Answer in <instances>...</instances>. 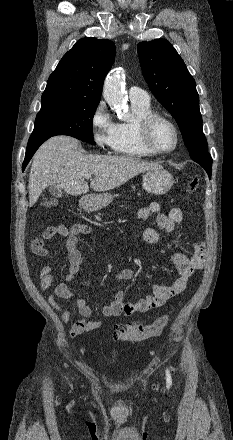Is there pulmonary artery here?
<instances>
[{
  "mask_svg": "<svg viewBox=\"0 0 233 440\" xmlns=\"http://www.w3.org/2000/svg\"><path fill=\"white\" fill-rule=\"evenodd\" d=\"M129 98L131 102L149 103L150 96L143 89L133 86L129 89Z\"/></svg>",
  "mask_w": 233,
  "mask_h": 440,
  "instance_id": "obj_1",
  "label": "pulmonary artery"
}]
</instances>
